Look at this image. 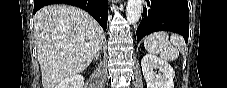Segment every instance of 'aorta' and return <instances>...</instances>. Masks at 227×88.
I'll return each mask as SVG.
<instances>
[{"instance_id": "aorta-1", "label": "aorta", "mask_w": 227, "mask_h": 88, "mask_svg": "<svg viewBox=\"0 0 227 88\" xmlns=\"http://www.w3.org/2000/svg\"><path fill=\"white\" fill-rule=\"evenodd\" d=\"M142 0H128L127 2V21L129 24H136L142 13Z\"/></svg>"}]
</instances>
